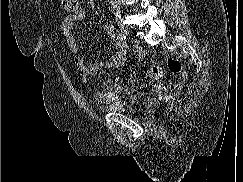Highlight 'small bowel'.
<instances>
[{
	"label": "small bowel",
	"instance_id": "obj_1",
	"mask_svg": "<svg viewBox=\"0 0 243 182\" xmlns=\"http://www.w3.org/2000/svg\"><path fill=\"white\" fill-rule=\"evenodd\" d=\"M85 18V11L83 9H78L76 12L67 15L61 23V31L63 36L66 39L67 45L74 56V62L80 72L81 82L85 85H91L90 77L96 76L101 73L104 68L114 69L118 68L124 64L126 57L128 55L129 46L127 43L117 39L114 34L113 26L105 23L104 29L110 35L111 42L116 48V51L107 63L95 62V63H86L84 58L80 54V48L74 36V26L79 21H82ZM136 54L138 57L144 56V51L141 48L136 49ZM133 79L129 78V83H132ZM123 83L119 80H116L113 85L105 92L94 90V97L99 102H114L118 100L119 95L123 91ZM130 90H126V93Z\"/></svg>",
	"mask_w": 243,
	"mask_h": 182
}]
</instances>
